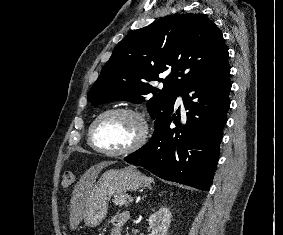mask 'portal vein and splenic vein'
<instances>
[{"label":"portal vein and splenic vein","instance_id":"18ae733b","mask_svg":"<svg viewBox=\"0 0 283 235\" xmlns=\"http://www.w3.org/2000/svg\"><path fill=\"white\" fill-rule=\"evenodd\" d=\"M130 201H133V198L131 197Z\"/></svg>","mask_w":283,"mask_h":235}]
</instances>
